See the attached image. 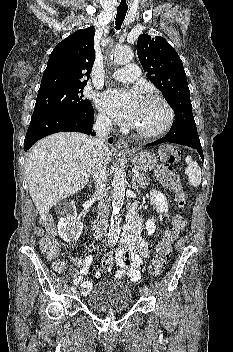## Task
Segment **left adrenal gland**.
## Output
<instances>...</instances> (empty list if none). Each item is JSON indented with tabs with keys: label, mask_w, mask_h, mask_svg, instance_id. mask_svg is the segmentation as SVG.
<instances>
[{
	"label": "left adrenal gland",
	"mask_w": 233,
	"mask_h": 352,
	"mask_svg": "<svg viewBox=\"0 0 233 352\" xmlns=\"http://www.w3.org/2000/svg\"><path fill=\"white\" fill-rule=\"evenodd\" d=\"M132 187L134 189H138V186L136 185L135 178L132 176Z\"/></svg>",
	"instance_id": "left-adrenal-gland-1"
}]
</instances>
